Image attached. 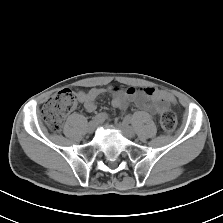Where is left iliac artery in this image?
<instances>
[{
	"label": "left iliac artery",
	"mask_w": 223,
	"mask_h": 223,
	"mask_svg": "<svg viewBox=\"0 0 223 223\" xmlns=\"http://www.w3.org/2000/svg\"><path fill=\"white\" fill-rule=\"evenodd\" d=\"M125 121H127L129 123H132L134 125L133 120L131 119V117H126Z\"/></svg>",
	"instance_id": "1"
}]
</instances>
